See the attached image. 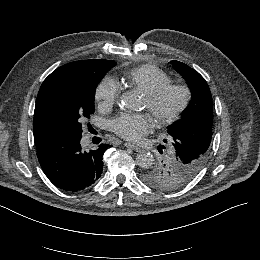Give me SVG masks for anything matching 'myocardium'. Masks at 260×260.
Segmentation results:
<instances>
[{
    "label": "myocardium",
    "mask_w": 260,
    "mask_h": 260,
    "mask_svg": "<svg viewBox=\"0 0 260 260\" xmlns=\"http://www.w3.org/2000/svg\"><path fill=\"white\" fill-rule=\"evenodd\" d=\"M173 91L181 94V101L179 105L171 112L158 116L155 119V125L158 128L167 127L181 118L183 113L187 110L191 102V90L188 86L182 83L169 82L163 86L154 89L151 92L145 93L144 97L147 101V109L149 112H156L164 99Z\"/></svg>",
    "instance_id": "obj_1"
}]
</instances>
